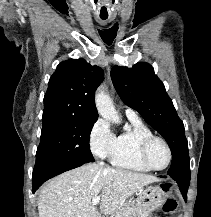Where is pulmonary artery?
Returning a JSON list of instances; mask_svg holds the SVG:
<instances>
[{"label":"pulmonary artery","instance_id":"pulmonary-artery-1","mask_svg":"<svg viewBox=\"0 0 211 217\" xmlns=\"http://www.w3.org/2000/svg\"><path fill=\"white\" fill-rule=\"evenodd\" d=\"M126 114H127V116H136L137 115V113L130 108L126 109Z\"/></svg>","mask_w":211,"mask_h":217}]
</instances>
